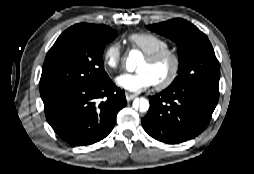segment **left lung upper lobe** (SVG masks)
Masks as SVG:
<instances>
[{"label":"left lung upper lobe","mask_w":254,"mask_h":174,"mask_svg":"<svg viewBox=\"0 0 254 174\" xmlns=\"http://www.w3.org/2000/svg\"><path fill=\"white\" fill-rule=\"evenodd\" d=\"M148 29L177 43L178 76L169 87L177 88L193 83L219 84L220 69L213 47L196 26L183 19H172L149 25Z\"/></svg>","instance_id":"1"}]
</instances>
